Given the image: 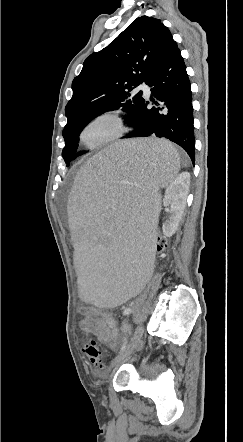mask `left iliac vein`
I'll use <instances>...</instances> for the list:
<instances>
[{
    "instance_id": "left-iliac-vein-1",
    "label": "left iliac vein",
    "mask_w": 243,
    "mask_h": 442,
    "mask_svg": "<svg viewBox=\"0 0 243 442\" xmlns=\"http://www.w3.org/2000/svg\"><path fill=\"white\" fill-rule=\"evenodd\" d=\"M144 333V326L140 325L134 335L132 336L130 342L128 343L127 347L112 361L111 368L116 369L118 368L123 361H125L134 350H138L142 346L141 338Z\"/></svg>"
}]
</instances>
